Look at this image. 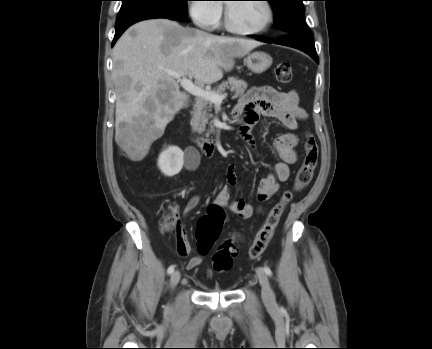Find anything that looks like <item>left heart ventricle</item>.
Listing matches in <instances>:
<instances>
[{
    "label": "left heart ventricle",
    "instance_id": "b2bd125f",
    "mask_svg": "<svg viewBox=\"0 0 432 349\" xmlns=\"http://www.w3.org/2000/svg\"><path fill=\"white\" fill-rule=\"evenodd\" d=\"M229 8L233 25L243 30L260 28L268 15L262 2H233L229 3Z\"/></svg>",
    "mask_w": 432,
    "mask_h": 349
}]
</instances>
